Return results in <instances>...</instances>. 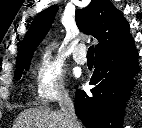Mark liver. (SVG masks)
<instances>
[{
    "instance_id": "obj_1",
    "label": "liver",
    "mask_w": 142,
    "mask_h": 128,
    "mask_svg": "<svg viewBox=\"0 0 142 128\" xmlns=\"http://www.w3.org/2000/svg\"><path fill=\"white\" fill-rule=\"evenodd\" d=\"M13 128H68V122L61 111L33 108L22 111Z\"/></svg>"
}]
</instances>
